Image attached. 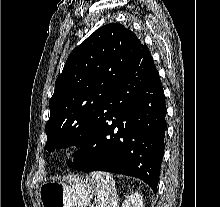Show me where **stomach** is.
Masks as SVG:
<instances>
[{
    "instance_id": "stomach-1",
    "label": "stomach",
    "mask_w": 220,
    "mask_h": 207,
    "mask_svg": "<svg viewBox=\"0 0 220 207\" xmlns=\"http://www.w3.org/2000/svg\"><path fill=\"white\" fill-rule=\"evenodd\" d=\"M95 193L94 180L77 175L45 182L39 188L42 207H86Z\"/></svg>"
}]
</instances>
